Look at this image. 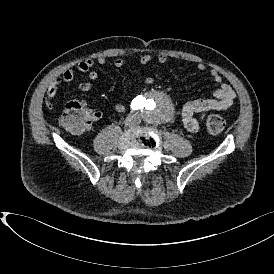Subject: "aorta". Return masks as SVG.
Masks as SVG:
<instances>
[{
  "instance_id": "1",
  "label": "aorta",
  "mask_w": 274,
  "mask_h": 274,
  "mask_svg": "<svg viewBox=\"0 0 274 274\" xmlns=\"http://www.w3.org/2000/svg\"><path fill=\"white\" fill-rule=\"evenodd\" d=\"M146 97L149 101H151V108H149V111L146 112V119L148 121L161 123L167 121L173 116L174 105L166 93L151 90Z\"/></svg>"
}]
</instances>
